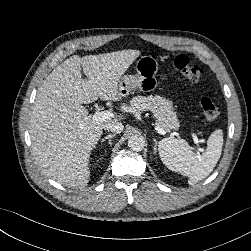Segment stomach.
I'll list each match as a JSON object with an SVG mask.
<instances>
[{"instance_id":"stomach-1","label":"stomach","mask_w":251,"mask_h":251,"mask_svg":"<svg viewBox=\"0 0 251 251\" xmlns=\"http://www.w3.org/2000/svg\"><path fill=\"white\" fill-rule=\"evenodd\" d=\"M135 69V75H124L119 82V89L123 96L128 95L133 90L150 92L157 87L158 62L154 57L150 55L141 56L136 62Z\"/></svg>"}]
</instances>
